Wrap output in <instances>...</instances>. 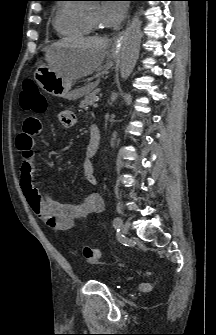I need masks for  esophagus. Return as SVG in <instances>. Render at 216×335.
I'll return each mask as SVG.
<instances>
[{"instance_id": "esophagus-1", "label": "esophagus", "mask_w": 216, "mask_h": 335, "mask_svg": "<svg viewBox=\"0 0 216 335\" xmlns=\"http://www.w3.org/2000/svg\"><path fill=\"white\" fill-rule=\"evenodd\" d=\"M125 35V31H122L119 33V35L115 38L114 40V45L113 48L114 49H119L123 40V37Z\"/></svg>"}]
</instances>
